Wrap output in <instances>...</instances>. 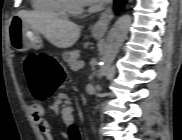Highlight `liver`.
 <instances>
[{
    "instance_id": "1",
    "label": "liver",
    "mask_w": 182,
    "mask_h": 140,
    "mask_svg": "<svg viewBox=\"0 0 182 140\" xmlns=\"http://www.w3.org/2000/svg\"><path fill=\"white\" fill-rule=\"evenodd\" d=\"M29 27L41 33L50 43L58 48L73 46L80 36V27L54 14L25 12L18 14Z\"/></svg>"
}]
</instances>
